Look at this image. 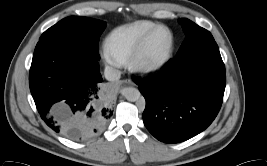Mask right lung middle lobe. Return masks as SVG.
<instances>
[{
    "mask_svg": "<svg viewBox=\"0 0 267 166\" xmlns=\"http://www.w3.org/2000/svg\"><path fill=\"white\" fill-rule=\"evenodd\" d=\"M106 22L88 17L71 16L62 19L40 37L65 40L99 59L98 41Z\"/></svg>",
    "mask_w": 267,
    "mask_h": 166,
    "instance_id": "obj_1",
    "label": "right lung middle lobe"
}]
</instances>
